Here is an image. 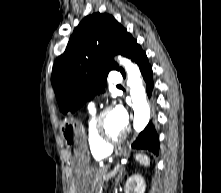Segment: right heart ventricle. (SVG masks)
Returning a JSON list of instances; mask_svg holds the SVG:
<instances>
[{
  "mask_svg": "<svg viewBox=\"0 0 221 193\" xmlns=\"http://www.w3.org/2000/svg\"><path fill=\"white\" fill-rule=\"evenodd\" d=\"M95 118L96 113L93 110L87 121V141L92 156L95 158H104L111 153V147L103 145L96 137L94 132Z\"/></svg>",
  "mask_w": 221,
  "mask_h": 193,
  "instance_id": "right-heart-ventricle-1",
  "label": "right heart ventricle"
}]
</instances>
